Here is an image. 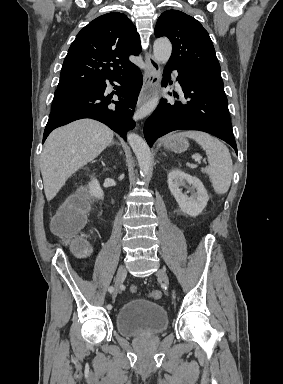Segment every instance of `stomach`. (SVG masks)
<instances>
[{
    "instance_id": "obj_1",
    "label": "stomach",
    "mask_w": 283,
    "mask_h": 384,
    "mask_svg": "<svg viewBox=\"0 0 283 384\" xmlns=\"http://www.w3.org/2000/svg\"><path fill=\"white\" fill-rule=\"evenodd\" d=\"M165 148L167 150H172V152H177V154H180V152H185L188 148V142L185 140V138H167L165 140Z\"/></svg>"
}]
</instances>
